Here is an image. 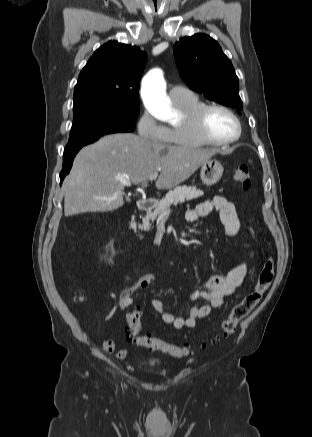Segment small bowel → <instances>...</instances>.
Instances as JSON below:
<instances>
[{
    "mask_svg": "<svg viewBox=\"0 0 312 437\" xmlns=\"http://www.w3.org/2000/svg\"><path fill=\"white\" fill-rule=\"evenodd\" d=\"M213 210L219 212L220 220L228 236H235L241 227L236 207L233 202L223 196H214L211 199L199 203L196 207L186 212V220L194 222L201 217L207 216ZM247 273L245 262L237 263L226 275H216L204 282V289L193 294L194 299H202L205 304L193 306L186 317H175L165 311L164 304L159 299L152 300L153 309L159 314L164 324L172 325L176 329L183 327L194 328L198 320L207 317L210 312L220 307L224 299L232 294L243 282ZM157 281L154 274H145L132 286L124 289L119 296V308L125 311L133 306V295L152 286ZM101 349L119 358L127 355L126 349H117L113 340L104 341Z\"/></svg>",
    "mask_w": 312,
    "mask_h": 437,
    "instance_id": "c3829d8e",
    "label": "small bowel"
}]
</instances>
